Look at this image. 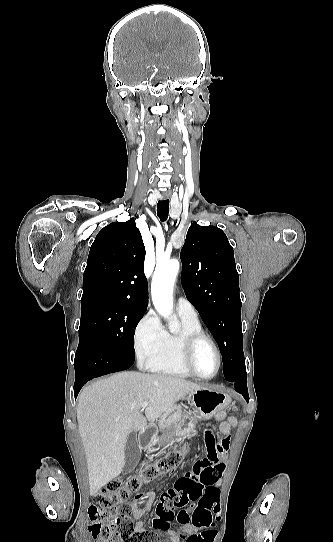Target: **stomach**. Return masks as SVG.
<instances>
[{"instance_id":"stomach-1","label":"stomach","mask_w":333,"mask_h":542,"mask_svg":"<svg viewBox=\"0 0 333 542\" xmlns=\"http://www.w3.org/2000/svg\"><path fill=\"white\" fill-rule=\"evenodd\" d=\"M188 398L193 406L191 418L190 416L184 418L188 422L177 424L172 430V434L167 430L163 436H158V432L148 430L146 432L147 436L142 442L143 448H152V446H156L157 442L166 444V442H170L171 438L176 441L180 439L183 441L193 440L198 435V430L194 429L196 428V424L201 422V420H210L215 414L224 410L230 402L227 394L211 390V388L194 390V392L189 394Z\"/></svg>"}]
</instances>
